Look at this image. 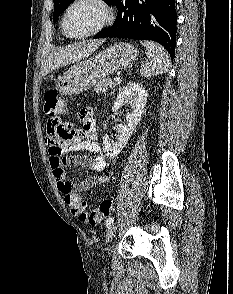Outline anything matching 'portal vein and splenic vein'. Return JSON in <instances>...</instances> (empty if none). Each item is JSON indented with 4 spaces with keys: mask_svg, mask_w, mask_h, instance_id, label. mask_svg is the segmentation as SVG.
<instances>
[{
    "mask_svg": "<svg viewBox=\"0 0 233 294\" xmlns=\"http://www.w3.org/2000/svg\"><path fill=\"white\" fill-rule=\"evenodd\" d=\"M114 81L119 82L120 81V77H115Z\"/></svg>",
    "mask_w": 233,
    "mask_h": 294,
    "instance_id": "obj_1",
    "label": "portal vein and splenic vein"
}]
</instances>
